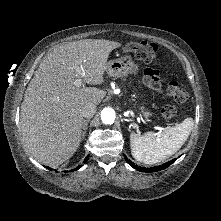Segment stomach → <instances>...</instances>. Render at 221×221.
Wrapping results in <instances>:
<instances>
[{
	"instance_id": "obj_1",
	"label": "stomach",
	"mask_w": 221,
	"mask_h": 221,
	"mask_svg": "<svg viewBox=\"0 0 221 221\" xmlns=\"http://www.w3.org/2000/svg\"><path fill=\"white\" fill-rule=\"evenodd\" d=\"M138 70V65L133 61L131 55H124L107 64L106 72L112 77H124Z\"/></svg>"
}]
</instances>
